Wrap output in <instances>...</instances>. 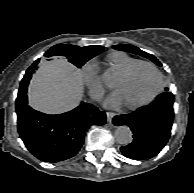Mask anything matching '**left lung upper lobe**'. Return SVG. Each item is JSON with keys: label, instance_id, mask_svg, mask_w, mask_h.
<instances>
[{"label": "left lung upper lobe", "instance_id": "5c2ea615", "mask_svg": "<svg viewBox=\"0 0 194 193\" xmlns=\"http://www.w3.org/2000/svg\"><path fill=\"white\" fill-rule=\"evenodd\" d=\"M113 48H115L117 50L131 52V53H134V54H137V55H141L145 58H148V59L152 60L158 66H162V64L153 55L140 50L138 47H135V46H132V45H115V46H113ZM166 91H168L167 88H166Z\"/></svg>", "mask_w": 194, "mask_h": 193}]
</instances>
